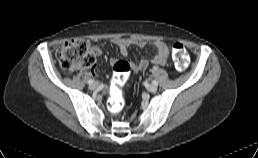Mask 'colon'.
Masks as SVG:
<instances>
[{
  "label": "colon",
  "instance_id": "obj_1",
  "mask_svg": "<svg viewBox=\"0 0 258 158\" xmlns=\"http://www.w3.org/2000/svg\"><path fill=\"white\" fill-rule=\"evenodd\" d=\"M56 56L61 69L67 73L79 67H92L96 61V56L84 39L66 41L57 49ZM172 61L178 71H184L188 67L189 54L182 43L176 42L172 45ZM113 70L109 110L119 113L124 107L122 88L129 77L131 66L127 61L119 60L114 63Z\"/></svg>",
  "mask_w": 258,
  "mask_h": 158
}]
</instances>
